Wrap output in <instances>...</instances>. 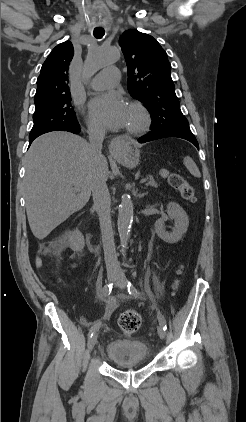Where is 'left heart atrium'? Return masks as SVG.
<instances>
[{"mask_svg":"<svg viewBox=\"0 0 246 422\" xmlns=\"http://www.w3.org/2000/svg\"><path fill=\"white\" fill-rule=\"evenodd\" d=\"M89 114L93 121L110 129L124 127L128 106L117 92L99 95L89 103Z\"/></svg>","mask_w":246,"mask_h":422,"instance_id":"obj_1","label":"left heart atrium"}]
</instances>
